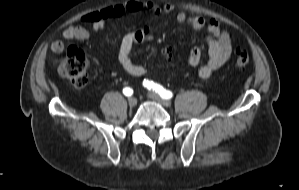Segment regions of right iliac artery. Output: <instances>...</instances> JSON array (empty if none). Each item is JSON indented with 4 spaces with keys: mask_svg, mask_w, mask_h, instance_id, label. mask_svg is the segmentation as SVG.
I'll return each mask as SVG.
<instances>
[{
    "mask_svg": "<svg viewBox=\"0 0 299 190\" xmlns=\"http://www.w3.org/2000/svg\"><path fill=\"white\" fill-rule=\"evenodd\" d=\"M123 93L126 96H131L133 94V90L129 87H126V88L123 89Z\"/></svg>",
    "mask_w": 299,
    "mask_h": 190,
    "instance_id": "obj_1",
    "label": "right iliac artery"
}]
</instances>
